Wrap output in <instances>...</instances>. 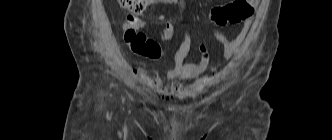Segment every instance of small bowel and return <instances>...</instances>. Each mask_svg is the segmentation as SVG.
<instances>
[{
	"label": "small bowel",
	"mask_w": 332,
	"mask_h": 140,
	"mask_svg": "<svg viewBox=\"0 0 332 140\" xmlns=\"http://www.w3.org/2000/svg\"><path fill=\"white\" fill-rule=\"evenodd\" d=\"M160 4L177 5L184 15L187 13V8L184 0H153ZM251 21L246 20L242 26L240 33L235 39H228L224 34L219 31H212V36L223 46V58L225 61H229L234 55L235 51L241 46L246 38V35L250 29ZM160 38L164 41L167 39L160 34ZM192 35L187 31L184 38L173 55L174 68L171 69L165 76V80L168 84L158 76L146 77V84L156 89L161 94H175L182 95L184 89L182 84L194 80L207 72L209 63L208 49L204 44L200 45V62L197 64L186 63L185 59L191 49Z\"/></svg>",
	"instance_id": "obj_1"
}]
</instances>
